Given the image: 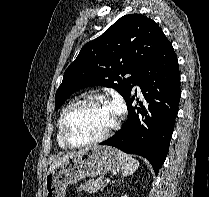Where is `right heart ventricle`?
Listing matches in <instances>:
<instances>
[{"mask_svg":"<svg viewBox=\"0 0 209 197\" xmlns=\"http://www.w3.org/2000/svg\"><path fill=\"white\" fill-rule=\"evenodd\" d=\"M78 101V98H74L72 100H70L61 110L60 115L58 117L57 120V134H56V138H57V143L59 145L60 148L62 149H67L68 146L64 144L62 137H61V125H62V120L65 116V114L67 113V111Z\"/></svg>","mask_w":209,"mask_h":197,"instance_id":"1","label":"right heart ventricle"}]
</instances>
